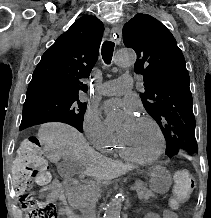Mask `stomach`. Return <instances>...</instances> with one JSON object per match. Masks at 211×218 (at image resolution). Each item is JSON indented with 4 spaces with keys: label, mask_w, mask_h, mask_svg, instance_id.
Here are the masks:
<instances>
[{
    "label": "stomach",
    "mask_w": 211,
    "mask_h": 218,
    "mask_svg": "<svg viewBox=\"0 0 211 218\" xmlns=\"http://www.w3.org/2000/svg\"><path fill=\"white\" fill-rule=\"evenodd\" d=\"M172 179L170 172L162 166L155 167L150 173V187L158 193H165L169 190Z\"/></svg>",
    "instance_id": "1"
}]
</instances>
